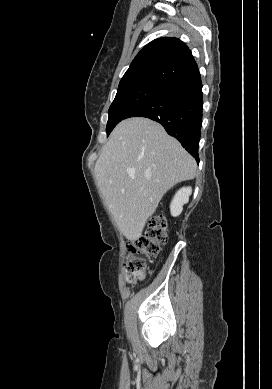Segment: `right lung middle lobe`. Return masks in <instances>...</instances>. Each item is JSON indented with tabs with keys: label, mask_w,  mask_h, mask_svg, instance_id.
Returning a JSON list of instances; mask_svg holds the SVG:
<instances>
[{
	"label": "right lung middle lobe",
	"mask_w": 272,
	"mask_h": 389,
	"mask_svg": "<svg viewBox=\"0 0 272 389\" xmlns=\"http://www.w3.org/2000/svg\"><path fill=\"white\" fill-rule=\"evenodd\" d=\"M163 86L164 84L153 81H138L119 85L115 99L109 108V118L106 126L107 136L130 110Z\"/></svg>",
	"instance_id": "obj_1"
}]
</instances>
